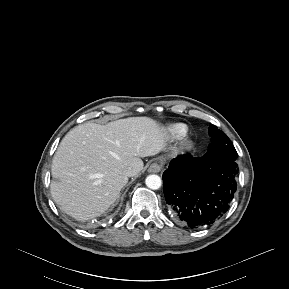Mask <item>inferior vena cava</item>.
I'll return each instance as SVG.
<instances>
[{"label": "inferior vena cava", "instance_id": "602c4592", "mask_svg": "<svg viewBox=\"0 0 289 289\" xmlns=\"http://www.w3.org/2000/svg\"><path fill=\"white\" fill-rule=\"evenodd\" d=\"M124 176L126 177H130L133 175V170L131 168H128L126 169L124 172H123Z\"/></svg>", "mask_w": 289, "mask_h": 289}]
</instances>
